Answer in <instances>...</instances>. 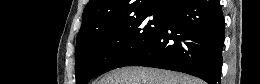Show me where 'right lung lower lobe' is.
Instances as JSON below:
<instances>
[{"label":"right lung lower lobe","instance_id":"obj_1","mask_svg":"<svg viewBox=\"0 0 260 84\" xmlns=\"http://www.w3.org/2000/svg\"><path fill=\"white\" fill-rule=\"evenodd\" d=\"M224 25L219 0H183L166 13L151 45L128 65L179 71L220 84Z\"/></svg>","mask_w":260,"mask_h":84}]
</instances>
